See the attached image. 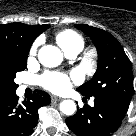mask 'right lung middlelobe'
<instances>
[{
    "label": "right lung middle lobe",
    "mask_w": 136,
    "mask_h": 136,
    "mask_svg": "<svg viewBox=\"0 0 136 136\" xmlns=\"http://www.w3.org/2000/svg\"><path fill=\"white\" fill-rule=\"evenodd\" d=\"M28 53L15 47L0 46V96L15 93L18 85L14 78L18 71L26 68Z\"/></svg>",
    "instance_id": "dd1d6c3e"
}]
</instances>
